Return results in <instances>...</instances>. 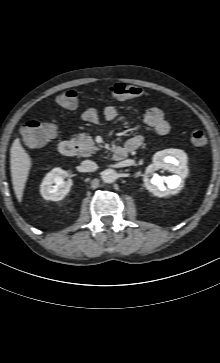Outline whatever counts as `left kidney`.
<instances>
[{
	"mask_svg": "<svg viewBox=\"0 0 220 363\" xmlns=\"http://www.w3.org/2000/svg\"><path fill=\"white\" fill-rule=\"evenodd\" d=\"M158 169H165L175 174L165 179L167 187L164 186L162 177L155 173ZM151 175H153L152 178H149ZM187 175L186 154L176 149H165L154 154L153 163L146 167L143 181L146 189L155 196L165 197L176 194Z\"/></svg>",
	"mask_w": 220,
	"mask_h": 363,
	"instance_id": "left-kidney-1",
	"label": "left kidney"
}]
</instances>
